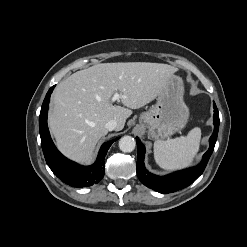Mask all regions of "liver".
Returning <instances> with one entry per match:
<instances>
[{
  "label": "liver",
  "mask_w": 247,
  "mask_h": 247,
  "mask_svg": "<svg viewBox=\"0 0 247 247\" xmlns=\"http://www.w3.org/2000/svg\"><path fill=\"white\" fill-rule=\"evenodd\" d=\"M177 68L161 63H101L77 71L59 83L52 95L49 128L58 149L69 159L90 164L96 144L116 120L120 131L131 109L154 100ZM127 108L113 105L112 97Z\"/></svg>",
  "instance_id": "6515ba94"
}]
</instances>
